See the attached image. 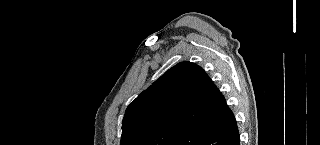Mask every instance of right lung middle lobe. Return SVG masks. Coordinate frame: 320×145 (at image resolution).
Instances as JSON below:
<instances>
[{
    "mask_svg": "<svg viewBox=\"0 0 320 145\" xmlns=\"http://www.w3.org/2000/svg\"><path fill=\"white\" fill-rule=\"evenodd\" d=\"M180 130H164L145 136L135 143V145H167Z\"/></svg>",
    "mask_w": 320,
    "mask_h": 145,
    "instance_id": "dd1d6c3e",
    "label": "right lung middle lobe"
}]
</instances>
